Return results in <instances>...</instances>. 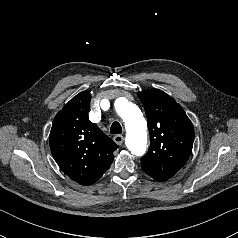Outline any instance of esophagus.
Listing matches in <instances>:
<instances>
[{"instance_id":"obj_1","label":"esophagus","mask_w":238,"mask_h":238,"mask_svg":"<svg viewBox=\"0 0 238 238\" xmlns=\"http://www.w3.org/2000/svg\"><path fill=\"white\" fill-rule=\"evenodd\" d=\"M113 140L117 145L120 146L123 144L124 137L122 135H116V136H114Z\"/></svg>"}]
</instances>
